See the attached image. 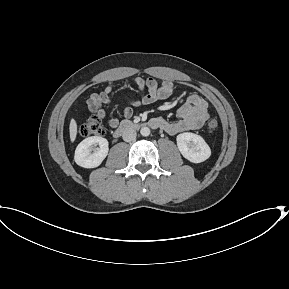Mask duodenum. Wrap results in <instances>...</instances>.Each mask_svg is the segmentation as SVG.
<instances>
[{"mask_svg":"<svg viewBox=\"0 0 289 289\" xmlns=\"http://www.w3.org/2000/svg\"><path fill=\"white\" fill-rule=\"evenodd\" d=\"M141 126V124L139 123H134L128 120L123 121L119 127L114 131V137H119L121 135H123L124 133L132 130V129H137ZM148 126L152 127V128H159V123L156 120H150L148 122Z\"/></svg>","mask_w":289,"mask_h":289,"instance_id":"410a0bca","label":"duodenum"}]
</instances>
